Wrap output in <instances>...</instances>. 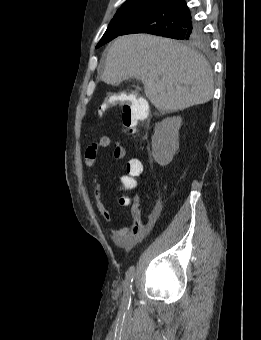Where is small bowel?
I'll list each match as a JSON object with an SVG mask.
<instances>
[{
  "label": "small bowel",
  "instance_id": "obj_1",
  "mask_svg": "<svg viewBox=\"0 0 261 340\" xmlns=\"http://www.w3.org/2000/svg\"><path fill=\"white\" fill-rule=\"evenodd\" d=\"M112 140L108 135H102L99 140L92 145H90L84 155V164L87 167H93L96 163L98 154L101 149L107 148L111 145ZM112 156L115 160H121L126 156V150L121 145H116L113 148ZM129 176H124L122 181L124 182L128 179ZM102 185L101 183H97L95 187V206L100 213V215L107 221H112V216L110 211L106 208L105 203L102 198ZM129 204V203H128ZM127 205V204H126ZM132 216L133 222L130 226H125L122 228H111V234L115 240L121 243L126 248H131L138 241H140L144 236L148 234V232L152 229L155 220L156 214L152 213L145 223L141 220V210L139 206V202L137 199L133 201L132 204Z\"/></svg>",
  "mask_w": 261,
  "mask_h": 340
}]
</instances>
